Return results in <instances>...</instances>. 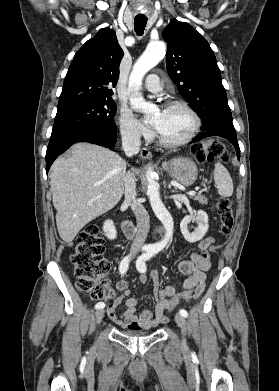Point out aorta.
I'll return each instance as SVG.
<instances>
[{
    "label": "aorta",
    "instance_id": "762f6f07",
    "mask_svg": "<svg viewBox=\"0 0 279 391\" xmlns=\"http://www.w3.org/2000/svg\"><path fill=\"white\" fill-rule=\"evenodd\" d=\"M166 51L165 43L162 41L151 42L148 44L144 53L139 57L133 66L129 78V86L138 90L142 85V80L145 74L155 67L159 61L164 57ZM132 108L141 111L146 116L154 112L155 106L152 103L145 101L140 94H134L130 98ZM147 179V195L149 202L155 215L162 222L165 228V235L163 239L155 243L152 247L156 251L164 249L173 236V219L169 211L164 206L160 198L159 184L155 180V172L149 168L146 172Z\"/></svg>",
    "mask_w": 279,
    "mask_h": 391
}]
</instances>
